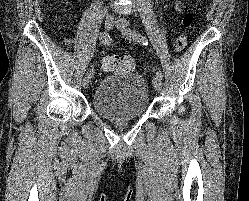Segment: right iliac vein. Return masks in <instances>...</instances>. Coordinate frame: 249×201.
Returning <instances> with one entry per match:
<instances>
[{
	"label": "right iliac vein",
	"mask_w": 249,
	"mask_h": 201,
	"mask_svg": "<svg viewBox=\"0 0 249 201\" xmlns=\"http://www.w3.org/2000/svg\"><path fill=\"white\" fill-rule=\"evenodd\" d=\"M113 26H114V17L111 14H107L105 19V29L111 30ZM89 82H90V76L86 74L83 78L82 86L84 88H87L89 86Z\"/></svg>",
	"instance_id": "right-iliac-vein-1"
}]
</instances>
